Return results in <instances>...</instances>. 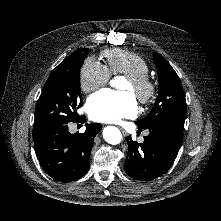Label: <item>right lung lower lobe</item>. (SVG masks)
I'll return each mask as SVG.
<instances>
[{
  "label": "right lung lower lobe",
  "mask_w": 221,
  "mask_h": 221,
  "mask_svg": "<svg viewBox=\"0 0 221 221\" xmlns=\"http://www.w3.org/2000/svg\"><path fill=\"white\" fill-rule=\"evenodd\" d=\"M80 116L76 123H84ZM99 123L86 124L82 134H71L68 123L54 125L33 136L36 156L43 170L53 179L70 182L83 177L90 166L89 158L94 138L101 130Z\"/></svg>",
  "instance_id": "right-lung-lower-lobe-1"
}]
</instances>
